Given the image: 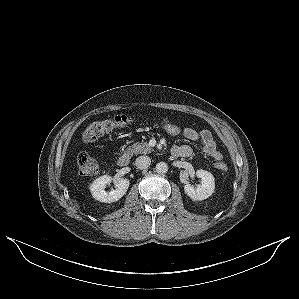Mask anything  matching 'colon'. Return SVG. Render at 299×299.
Wrapping results in <instances>:
<instances>
[{"mask_svg":"<svg viewBox=\"0 0 299 299\" xmlns=\"http://www.w3.org/2000/svg\"><path fill=\"white\" fill-rule=\"evenodd\" d=\"M134 122L135 120L133 118L126 115H117L110 119L95 121L88 125V127L85 129L82 139L85 143H93L105 133L114 129L127 127L134 124ZM160 127L164 132L171 136L178 137L182 136L184 133L183 128L172 122L163 121L160 123ZM77 166L79 173L83 176L95 175L100 170L98 160L85 152L78 155ZM216 168L220 171L227 170V167L224 163H217Z\"/></svg>","mask_w":299,"mask_h":299,"instance_id":"obj_1","label":"colon"}]
</instances>
